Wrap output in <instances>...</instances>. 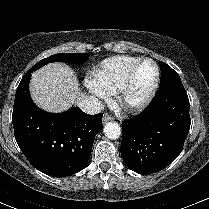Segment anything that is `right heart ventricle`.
<instances>
[{
    "label": "right heart ventricle",
    "instance_id": "e07e8e85",
    "mask_svg": "<svg viewBox=\"0 0 209 209\" xmlns=\"http://www.w3.org/2000/svg\"><path fill=\"white\" fill-rule=\"evenodd\" d=\"M140 57L118 55L102 61L94 72L96 83L110 95L117 94L129 67Z\"/></svg>",
    "mask_w": 209,
    "mask_h": 209
}]
</instances>
